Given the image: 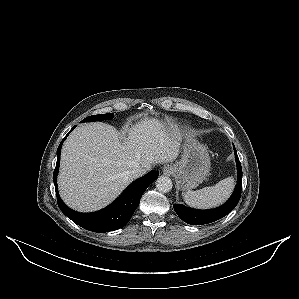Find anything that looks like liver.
Returning <instances> with one entry per match:
<instances>
[{"mask_svg": "<svg viewBox=\"0 0 299 299\" xmlns=\"http://www.w3.org/2000/svg\"><path fill=\"white\" fill-rule=\"evenodd\" d=\"M123 137L111 125H79L65 141L58 186L61 198L79 212L100 210L133 181L129 171L150 170L156 163L174 161L182 135L172 124L145 119L126 128Z\"/></svg>", "mask_w": 299, "mask_h": 299, "instance_id": "1", "label": "liver"}]
</instances>
